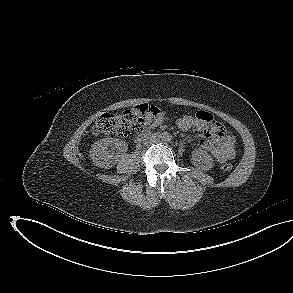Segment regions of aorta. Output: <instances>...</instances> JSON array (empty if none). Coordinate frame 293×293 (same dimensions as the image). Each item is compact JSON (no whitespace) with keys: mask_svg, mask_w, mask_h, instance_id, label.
Returning a JSON list of instances; mask_svg holds the SVG:
<instances>
[{"mask_svg":"<svg viewBox=\"0 0 293 293\" xmlns=\"http://www.w3.org/2000/svg\"><path fill=\"white\" fill-rule=\"evenodd\" d=\"M160 139L162 142H168L170 140V136L168 133H163L161 134Z\"/></svg>","mask_w":293,"mask_h":293,"instance_id":"obj_1","label":"aorta"}]
</instances>
